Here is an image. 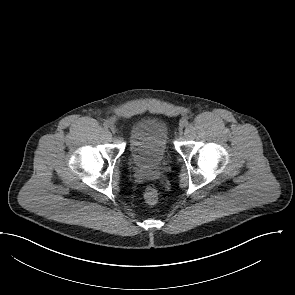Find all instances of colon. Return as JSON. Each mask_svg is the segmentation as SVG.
Listing matches in <instances>:
<instances>
[{
  "mask_svg": "<svg viewBox=\"0 0 295 295\" xmlns=\"http://www.w3.org/2000/svg\"><path fill=\"white\" fill-rule=\"evenodd\" d=\"M144 198L148 204H155L158 201V192L154 187H147L144 192Z\"/></svg>",
  "mask_w": 295,
  "mask_h": 295,
  "instance_id": "1",
  "label": "colon"
}]
</instances>
